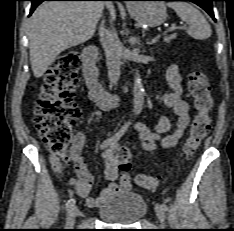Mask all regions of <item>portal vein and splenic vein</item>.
<instances>
[{"instance_id":"18ae733b","label":"portal vein and splenic vein","mask_w":234,"mask_h":231,"mask_svg":"<svg viewBox=\"0 0 234 231\" xmlns=\"http://www.w3.org/2000/svg\"><path fill=\"white\" fill-rule=\"evenodd\" d=\"M176 29H177L176 25L173 24L167 31L164 32V34H166L167 32H170V31H174ZM160 37H161L160 35H158L157 37H155V39L153 40V42H155L156 40H158Z\"/></svg>"}]
</instances>
